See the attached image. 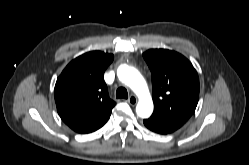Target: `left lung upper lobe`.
<instances>
[{"label": "left lung upper lobe", "mask_w": 249, "mask_h": 165, "mask_svg": "<svg viewBox=\"0 0 249 165\" xmlns=\"http://www.w3.org/2000/svg\"><path fill=\"white\" fill-rule=\"evenodd\" d=\"M152 74V116L184 124L194 113L199 98V78L183 55L166 49L143 54Z\"/></svg>", "instance_id": "1"}]
</instances>
